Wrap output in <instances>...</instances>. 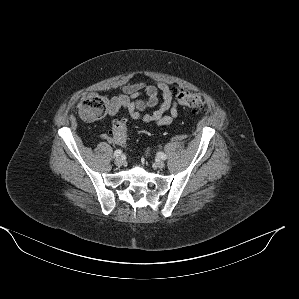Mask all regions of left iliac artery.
<instances>
[{
	"label": "left iliac artery",
	"mask_w": 299,
	"mask_h": 299,
	"mask_svg": "<svg viewBox=\"0 0 299 299\" xmlns=\"http://www.w3.org/2000/svg\"><path fill=\"white\" fill-rule=\"evenodd\" d=\"M158 157L161 158L162 160H166V159H167L166 154H164V153H162V152H159V153H158Z\"/></svg>",
	"instance_id": "left-iliac-artery-1"
}]
</instances>
